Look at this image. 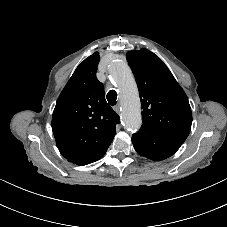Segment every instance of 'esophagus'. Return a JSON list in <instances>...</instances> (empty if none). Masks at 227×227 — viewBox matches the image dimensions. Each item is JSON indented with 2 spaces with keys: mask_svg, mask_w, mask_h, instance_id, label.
<instances>
[{
  "mask_svg": "<svg viewBox=\"0 0 227 227\" xmlns=\"http://www.w3.org/2000/svg\"><path fill=\"white\" fill-rule=\"evenodd\" d=\"M114 110H115L116 113L120 114V112H121L120 105L114 106Z\"/></svg>",
  "mask_w": 227,
  "mask_h": 227,
  "instance_id": "obj_1",
  "label": "esophagus"
}]
</instances>
